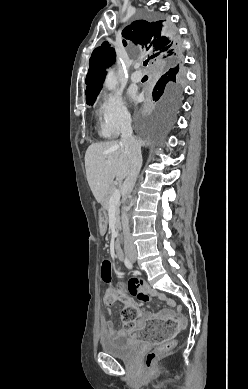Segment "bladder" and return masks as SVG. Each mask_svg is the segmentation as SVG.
Here are the masks:
<instances>
[{
	"mask_svg": "<svg viewBox=\"0 0 248 389\" xmlns=\"http://www.w3.org/2000/svg\"><path fill=\"white\" fill-rule=\"evenodd\" d=\"M99 346L103 353L121 359L131 358L139 347L138 343L118 333L101 336Z\"/></svg>",
	"mask_w": 248,
	"mask_h": 389,
	"instance_id": "1",
	"label": "bladder"
}]
</instances>
